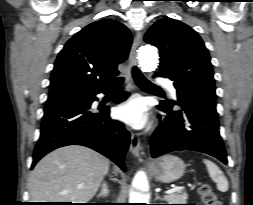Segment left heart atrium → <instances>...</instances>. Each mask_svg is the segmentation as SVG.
Wrapping results in <instances>:
<instances>
[{
    "label": "left heart atrium",
    "mask_w": 253,
    "mask_h": 205,
    "mask_svg": "<svg viewBox=\"0 0 253 205\" xmlns=\"http://www.w3.org/2000/svg\"><path fill=\"white\" fill-rule=\"evenodd\" d=\"M116 113L120 120L137 129L143 128L148 121L147 107L138 96L121 104Z\"/></svg>",
    "instance_id": "1"
}]
</instances>
